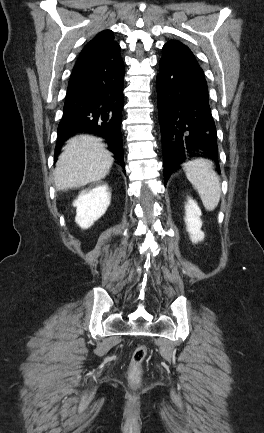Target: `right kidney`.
I'll list each match as a JSON object with an SVG mask.
<instances>
[{
	"mask_svg": "<svg viewBox=\"0 0 264 433\" xmlns=\"http://www.w3.org/2000/svg\"><path fill=\"white\" fill-rule=\"evenodd\" d=\"M110 199L111 194L105 184L81 191L73 202V206L76 207L75 222L82 229H88L105 214Z\"/></svg>",
	"mask_w": 264,
	"mask_h": 433,
	"instance_id": "obj_1",
	"label": "right kidney"
}]
</instances>
